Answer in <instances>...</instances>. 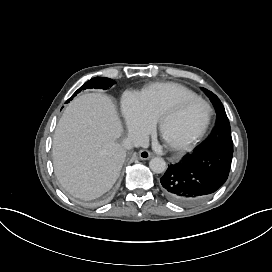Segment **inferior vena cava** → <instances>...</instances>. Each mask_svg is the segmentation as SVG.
<instances>
[{
	"instance_id": "obj_1",
	"label": "inferior vena cava",
	"mask_w": 272,
	"mask_h": 272,
	"mask_svg": "<svg viewBox=\"0 0 272 272\" xmlns=\"http://www.w3.org/2000/svg\"><path fill=\"white\" fill-rule=\"evenodd\" d=\"M128 142L135 147L147 148L149 145V136L141 131L132 132L128 135Z\"/></svg>"
}]
</instances>
